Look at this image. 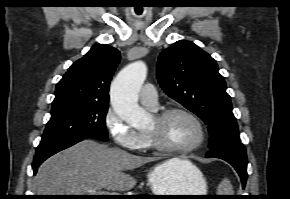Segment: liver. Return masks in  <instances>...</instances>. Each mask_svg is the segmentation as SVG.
I'll return each instance as SVG.
<instances>
[{
  "instance_id": "1",
  "label": "liver",
  "mask_w": 290,
  "mask_h": 199,
  "mask_svg": "<svg viewBox=\"0 0 290 199\" xmlns=\"http://www.w3.org/2000/svg\"><path fill=\"white\" fill-rule=\"evenodd\" d=\"M154 157L129 154L119 148H110L94 140H83L47 159L35 177L37 195H91L89 190L128 191L137 180L126 170L155 161ZM169 167L188 160L172 158Z\"/></svg>"
}]
</instances>
